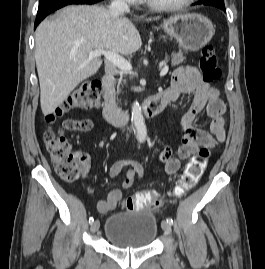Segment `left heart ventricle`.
<instances>
[{
	"label": "left heart ventricle",
	"mask_w": 265,
	"mask_h": 269,
	"mask_svg": "<svg viewBox=\"0 0 265 269\" xmlns=\"http://www.w3.org/2000/svg\"><path fill=\"white\" fill-rule=\"evenodd\" d=\"M154 1H157L160 3H175V2L182 1V0H154Z\"/></svg>",
	"instance_id": "1"
}]
</instances>
